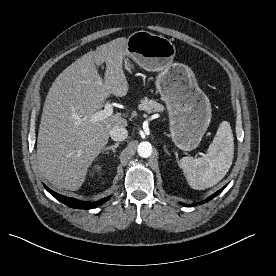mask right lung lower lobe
Returning <instances> with one entry per match:
<instances>
[{
	"label": "right lung lower lobe",
	"mask_w": 276,
	"mask_h": 276,
	"mask_svg": "<svg viewBox=\"0 0 276 276\" xmlns=\"http://www.w3.org/2000/svg\"><path fill=\"white\" fill-rule=\"evenodd\" d=\"M45 189L51 194L53 195L58 201L64 203L65 205L71 207V208H75V209H90L92 207H96L104 202H106L108 200V197L105 199H102L98 202L95 203H88V202H84V201H79L77 199L74 198H70V197H66L63 195H60L54 191H52L51 189H49L46 185H44Z\"/></svg>",
	"instance_id": "right-lung-lower-lobe-1"
}]
</instances>
